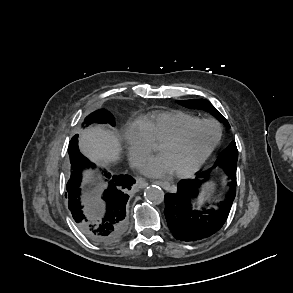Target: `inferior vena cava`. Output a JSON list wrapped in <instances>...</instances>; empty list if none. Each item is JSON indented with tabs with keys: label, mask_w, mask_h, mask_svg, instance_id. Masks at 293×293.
I'll return each mask as SVG.
<instances>
[{
	"label": "inferior vena cava",
	"mask_w": 293,
	"mask_h": 293,
	"mask_svg": "<svg viewBox=\"0 0 293 293\" xmlns=\"http://www.w3.org/2000/svg\"><path fill=\"white\" fill-rule=\"evenodd\" d=\"M132 165L134 167H139L141 165V160L138 157H133L132 159Z\"/></svg>",
	"instance_id": "obj_1"
}]
</instances>
